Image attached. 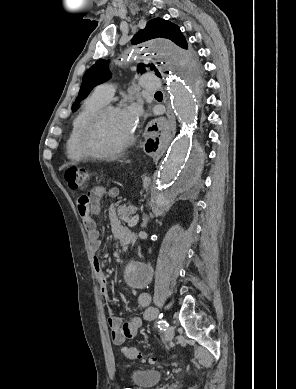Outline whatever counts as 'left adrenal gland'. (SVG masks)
I'll return each instance as SVG.
<instances>
[{
	"label": "left adrenal gland",
	"mask_w": 296,
	"mask_h": 389,
	"mask_svg": "<svg viewBox=\"0 0 296 389\" xmlns=\"http://www.w3.org/2000/svg\"><path fill=\"white\" fill-rule=\"evenodd\" d=\"M142 224H141V227L142 228H146L147 224H148V221H149V217L146 215V214H143V218H142Z\"/></svg>",
	"instance_id": "obj_1"
}]
</instances>
